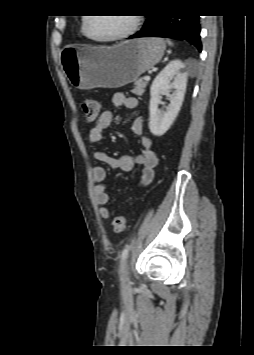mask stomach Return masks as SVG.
<instances>
[{
	"instance_id": "1",
	"label": "stomach",
	"mask_w": 254,
	"mask_h": 355,
	"mask_svg": "<svg viewBox=\"0 0 254 355\" xmlns=\"http://www.w3.org/2000/svg\"><path fill=\"white\" fill-rule=\"evenodd\" d=\"M161 38H140L112 47L66 46L60 62L67 79L79 89L117 88L135 81L163 57Z\"/></svg>"
}]
</instances>
